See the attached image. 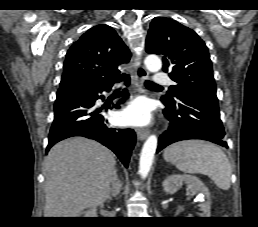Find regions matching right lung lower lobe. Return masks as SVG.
Wrapping results in <instances>:
<instances>
[{"instance_id":"1","label":"right lung lower lobe","mask_w":258,"mask_h":227,"mask_svg":"<svg viewBox=\"0 0 258 227\" xmlns=\"http://www.w3.org/2000/svg\"><path fill=\"white\" fill-rule=\"evenodd\" d=\"M125 79L129 85L128 75L109 83L84 82L57 94L54 104V121L49 133L47 151L57 142L72 136H84L94 139L111 149L128 167L131 151L135 145V133L132 129H113L106 126V120L95 107L99 95L103 91H110L115 82ZM121 96L126 99L129 94L126 89ZM120 108L119 104L114 105ZM46 151V152H47Z\"/></svg>"}]
</instances>
